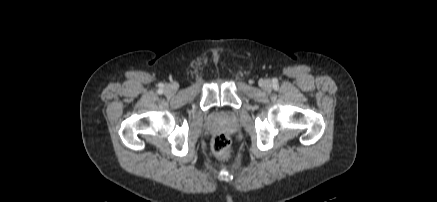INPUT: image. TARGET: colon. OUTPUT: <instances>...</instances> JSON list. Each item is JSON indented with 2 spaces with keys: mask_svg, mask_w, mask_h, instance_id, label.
I'll return each instance as SVG.
<instances>
[{
  "mask_svg": "<svg viewBox=\"0 0 437 202\" xmlns=\"http://www.w3.org/2000/svg\"><path fill=\"white\" fill-rule=\"evenodd\" d=\"M212 151L217 158L221 160L228 159L231 153L230 138L224 133L216 134L212 140Z\"/></svg>",
  "mask_w": 437,
  "mask_h": 202,
  "instance_id": "obj_1",
  "label": "colon"
}]
</instances>
